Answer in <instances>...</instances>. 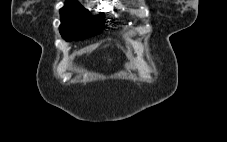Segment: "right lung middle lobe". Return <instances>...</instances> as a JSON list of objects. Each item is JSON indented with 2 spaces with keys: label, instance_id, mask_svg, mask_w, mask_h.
Returning a JSON list of instances; mask_svg holds the SVG:
<instances>
[{
  "label": "right lung middle lobe",
  "instance_id": "1",
  "mask_svg": "<svg viewBox=\"0 0 227 142\" xmlns=\"http://www.w3.org/2000/svg\"><path fill=\"white\" fill-rule=\"evenodd\" d=\"M60 15L61 25L59 30L66 41L94 36L104 27V13L92 18L90 13L78 2H66L60 10Z\"/></svg>",
  "mask_w": 227,
  "mask_h": 142
}]
</instances>
